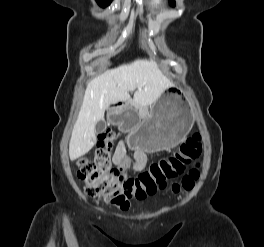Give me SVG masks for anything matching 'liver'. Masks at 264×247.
<instances>
[{
	"instance_id": "liver-1",
	"label": "liver",
	"mask_w": 264,
	"mask_h": 247,
	"mask_svg": "<svg viewBox=\"0 0 264 247\" xmlns=\"http://www.w3.org/2000/svg\"><path fill=\"white\" fill-rule=\"evenodd\" d=\"M172 86L157 64L150 60H136L107 70L87 86L83 103L74 125L70 143V160L88 153L96 141L95 126L104 118L112 104L130 100L129 92L136 90L134 103L146 107L158 100Z\"/></svg>"
}]
</instances>
